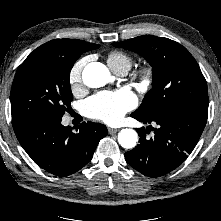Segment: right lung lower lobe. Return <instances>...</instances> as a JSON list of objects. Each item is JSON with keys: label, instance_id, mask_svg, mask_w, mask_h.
<instances>
[{"label": "right lung lower lobe", "instance_id": "obj_1", "mask_svg": "<svg viewBox=\"0 0 221 221\" xmlns=\"http://www.w3.org/2000/svg\"><path fill=\"white\" fill-rule=\"evenodd\" d=\"M15 134L30 156L42 169L57 175H71L92 158L99 141L107 135L103 124L87 122L77 133L61 120H44L14 128Z\"/></svg>", "mask_w": 221, "mask_h": 221}]
</instances>
